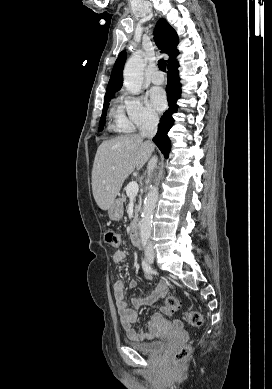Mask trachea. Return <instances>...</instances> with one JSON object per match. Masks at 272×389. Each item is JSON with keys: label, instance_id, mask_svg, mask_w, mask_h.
Segmentation results:
<instances>
[{"label": "trachea", "instance_id": "3493384b", "mask_svg": "<svg viewBox=\"0 0 272 389\" xmlns=\"http://www.w3.org/2000/svg\"><path fill=\"white\" fill-rule=\"evenodd\" d=\"M158 67L161 71L165 72L166 71V61L163 59L159 60Z\"/></svg>", "mask_w": 272, "mask_h": 389}]
</instances>
